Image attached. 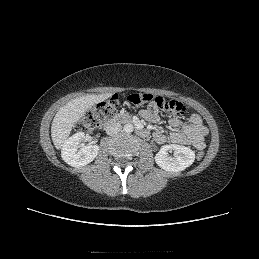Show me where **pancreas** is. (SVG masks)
Segmentation results:
<instances>
[{
	"label": "pancreas",
	"mask_w": 259,
	"mask_h": 259,
	"mask_svg": "<svg viewBox=\"0 0 259 259\" xmlns=\"http://www.w3.org/2000/svg\"><path fill=\"white\" fill-rule=\"evenodd\" d=\"M118 117L119 118H124V117H128V115H126V114H119Z\"/></svg>",
	"instance_id": "pancreas-1"
}]
</instances>
